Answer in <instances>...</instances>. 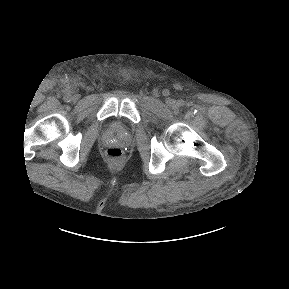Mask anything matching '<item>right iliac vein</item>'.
<instances>
[{
  "label": "right iliac vein",
  "instance_id": "right-iliac-vein-1",
  "mask_svg": "<svg viewBox=\"0 0 289 289\" xmlns=\"http://www.w3.org/2000/svg\"><path fill=\"white\" fill-rule=\"evenodd\" d=\"M78 99H79V95H77V94L72 97L73 101H77Z\"/></svg>",
  "mask_w": 289,
  "mask_h": 289
}]
</instances>
